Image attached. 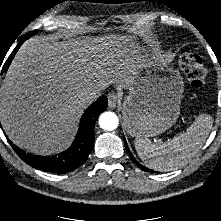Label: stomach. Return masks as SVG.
<instances>
[{
	"label": "stomach",
	"mask_w": 221,
	"mask_h": 221,
	"mask_svg": "<svg viewBox=\"0 0 221 221\" xmlns=\"http://www.w3.org/2000/svg\"><path fill=\"white\" fill-rule=\"evenodd\" d=\"M183 86L180 75L158 60L138 70L122 105L127 132L147 138L171 128L180 114Z\"/></svg>",
	"instance_id": "stomach-1"
}]
</instances>
